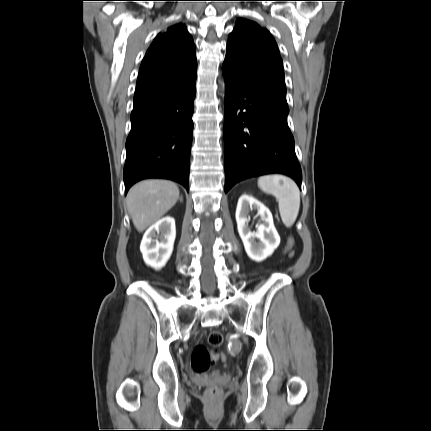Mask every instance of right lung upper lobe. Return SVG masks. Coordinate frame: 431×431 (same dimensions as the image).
<instances>
[{"instance_id":"obj_1","label":"right lung upper lobe","mask_w":431,"mask_h":431,"mask_svg":"<svg viewBox=\"0 0 431 431\" xmlns=\"http://www.w3.org/2000/svg\"><path fill=\"white\" fill-rule=\"evenodd\" d=\"M194 42L182 24L159 33L140 66L134 109L167 99L196 79Z\"/></svg>"}]
</instances>
